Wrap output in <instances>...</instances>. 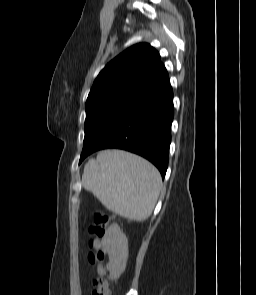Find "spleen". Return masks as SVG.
<instances>
[{"instance_id":"obj_1","label":"spleen","mask_w":256,"mask_h":295,"mask_svg":"<svg viewBox=\"0 0 256 295\" xmlns=\"http://www.w3.org/2000/svg\"><path fill=\"white\" fill-rule=\"evenodd\" d=\"M82 184L110 211L144 221L154 209L162 180L158 170L144 158L107 150L85 165Z\"/></svg>"}]
</instances>
